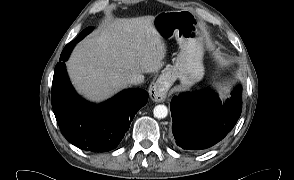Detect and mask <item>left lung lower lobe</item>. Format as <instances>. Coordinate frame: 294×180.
I'll return each instance as SVG.
<instances>
[{
    "instance_id": "left-lung-lower-lobe-1",
    "label": "left lung lower lobe",
    "mask_w": 294,
    "mask_h": 180,
    "mask_svg": "<svg viewBox=\"0 0 294 180\" xmlns=\"http://www.w3.org/2000/svg\"><path fill=\"white\" fill-rule=\"evenodd\" d=\"M221 104L211 93H183L171 101L172 133L186 150L207 149L222 140L235 126L242 110L240 89Z\"/></svg>"
}]
</instances>
